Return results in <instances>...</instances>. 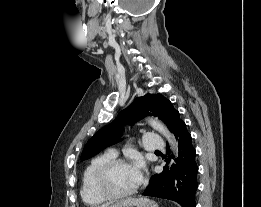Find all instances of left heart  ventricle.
<instances>
[{
  "label": "left heart ventricle",
  "mask_w": 261,
  "mask_h": 207,
  "mask_svg": "<svg viewBox=\"0 0 261 207\" xmlns=\"http://www.w3.org/2000/svg\"><path fill=\"white\" fill-rule=\"evenodd\" d=\"M137 184L132 165H121L112 170L109 176V186L115 192H125Z\"/></svg>",
  "instance_id": "obj_1"
}]
</instances>
